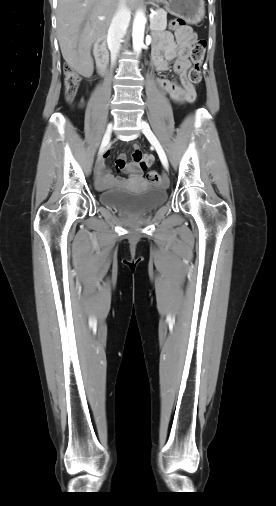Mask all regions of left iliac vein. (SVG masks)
I'll use <instances>...</instances> for the list:
<instances>
[{"label": "left iliac vein", "mask_w": 276, "mask_h": 506, "mask_svg": "<svg viewBox=\"0 0 276 506\" xmlns=\"http://www.w3.org/2000/svg\"><path fill=\"white\" fill-rule=\"evenodd\" d=\"M140 125H141V129H142V132L145 134V136L149 139V141L154 145L160 159H161V162L163 164V166L168 169V160H167V157H166V154L160 144V142L158 141V139L156 138V136L154 135V133L152 132L150 126L148 123H146L145 121L141 120L140 121Z\"/></svg>", "instance_id": "1"}]
</instances>
